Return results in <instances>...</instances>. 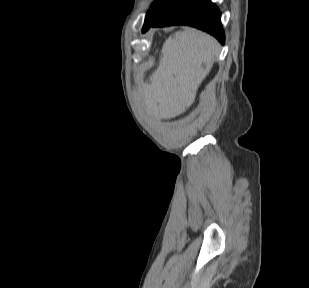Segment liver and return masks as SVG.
<instances>
[{"instance_id": "6515ba94", "label": "liver", "mask_w": 309, "mask_h": 288, "mask_svg": "<svg viewBox=\"0 0 309 288\" xmlns=\"http://www.w3.org/2000/svg\"><path fill=\"white\" fill-rule=\"evenodd\" d=\"M218 50L212 36L194 28L169 37L162 47L160 66L150 77L151 85L141 91L146 111L158 119H171L183 113L194 102Z\"/></svg>"}]
</instances>
